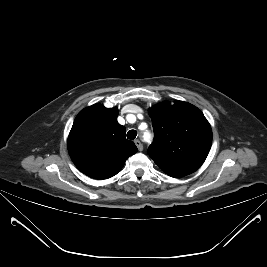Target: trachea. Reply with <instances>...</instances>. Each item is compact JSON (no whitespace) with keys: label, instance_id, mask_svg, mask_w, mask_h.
<instances>
[{"label":"trachea","instance_id":"1","mask_svg":"<svg viewBox=\"0 0 267 267\" xmlns=\"http://www.w3.org/2000/svg\"><path fill=\"white\" fill-rule=\"evenodd\" d=\"M137 136V131L136 130H129L127 132V138L130 140H134Z\"/></svg>","mask_w":267,"mask_h":267}]
</instances>
